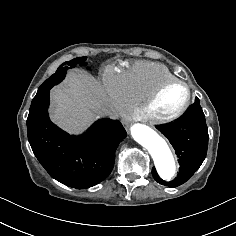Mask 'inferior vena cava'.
<instances>
[{
    "mask_svg": "<svg viewBox=\"0 0 236 236\" xmlns=\"http://www.w3.org/2000/svg\"><path fill=\"white\" fill-rule=\"evenodd\" d=\"M97 113L100 114L101 116H109L110 118L114 117L112 110L106 106H100L99 109L97 110Z\"/></svg>",
    "mask_w": 236,
    "mask_h": 236,
    "instance_id": "602c4592",
    "label": "inferior vena cava"
}]
</instances>
